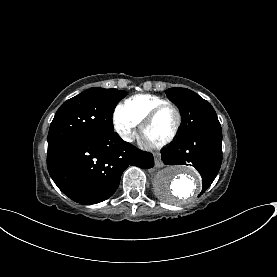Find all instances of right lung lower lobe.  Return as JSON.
<instances>
[{"label":"right lung lower lobe","instance_id":"1","mask_svg":"<svg viewBox=\"0 0 277 277\" xmlns=\"http://www.w3.org/2000/svg\"><path fill=\"white\" fill-rule=\"evenodd\" d=\"M129 165L148 169L153 167L154 159L115 132L48 146L47 167L51 178L65 195L81 204L99 203L112 196Z\"/></svg>","mask_w":277,"mask_h":277}]
</instances>
